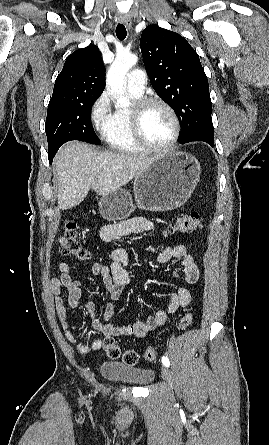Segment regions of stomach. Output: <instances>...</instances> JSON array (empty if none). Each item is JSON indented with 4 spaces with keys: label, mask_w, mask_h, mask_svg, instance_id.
I'll use <instances>...</instances> for the list:
<instances>
[{
    "label": "stomach",
    "mask_w": 269,
    "mask_h": 445,
    "mask_svg": "<svg viewBox=\"0 0 269 445\" xmlns=\"http://www.w3.org/2000/svg\"><path fill=\"white\" fill-rule=\"evenodd\" d=\"M201 173L200 164L184 152H169L157 157L134 179V200L124 189H117L99 201L101 216L108 221H121L139 209L163 212L187 202Z\"/></svg>",
    "instance_id": "0dacf381"
}]
</instances>
